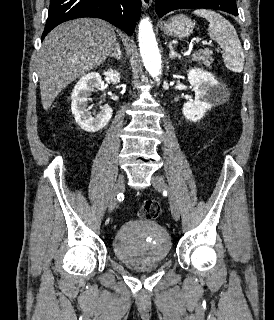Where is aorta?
I'll use <instances>...</instances> for the list:
<instances>
[{
    "label": "aorta",
    "instance_id": "1",
    "mask_svg": "<svg viewBox=\"0 0 274 320\" xmlns=\"http://www.w3.org/2000/svg\"><path fill=\"white\" fill-rule=\"evenodd\" d=\"M138 40L141 57L148 73L156 78L161 70V55L159 53L152 23L148 17L139 23Z\"/></svg>",
    "mask_w": 274,
    "mask_h": 320
}]
</instances>
